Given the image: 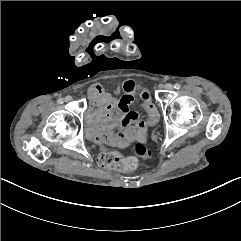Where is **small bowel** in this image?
<instances>
[{"label": "small bowel", "mask_w": 241, "mask_h": 241, "mask_svg": "<svg viewBox=\"0 0 241 241\" xmlns=\"http://www.w3.org/2000/svg\"><path fill=\"white\" fill-rule=\"evenodd\" d=\"M136 89L134 81H125L124 93L117 100L97 85L89 88L93 124L88 135L97 144L125 148L135 141L145 143L148 140V128L158 123L159 114L150 92L145 88H138L145 118L141 112L131 109Z\"/></svg>", "instance_id": "obj_1"}]
</instances>
